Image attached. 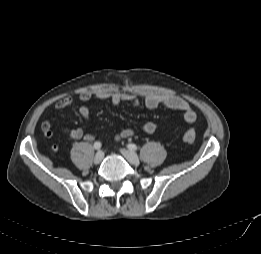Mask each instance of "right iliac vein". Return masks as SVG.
<instances>
[{
	"label": "right iliac vein",
	"instance_id": "63e3f726",
	"mask_svg": "<svg viewBox=\"0 0 261 254\" xmlns=\"http://www.w3.org/2000/svg\"><path fill=\"white\" fill-rule=\"evenodd\" d=\"M103 157H104V153L102 151H98L94 156L93 159L94 163L99 164L103 160Z\"/></svg>",
	"mask_w": 261,
	"mask_h": 254
}]
</instances>
